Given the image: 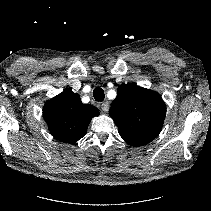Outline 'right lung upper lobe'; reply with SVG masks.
Segmentation results:
<instances>
[{"label": "right lung upper lobe", "mask_w": 211, "mask_h": 211, "mask_svg": "<svg viewBox=\"0 0 211 211\" xmlns=\"http://www.w3.org/2000/svg\"><path fill=\"white\" fill-rule=\"evenodd\" d=\"M99 110L83 104L80 96L66 89L44 105L43 117L51 134L66 143H75L87 132V127Z\"/></svg>", "instance_id": "right-lung-upper-lobe-1"}]
</instances>
